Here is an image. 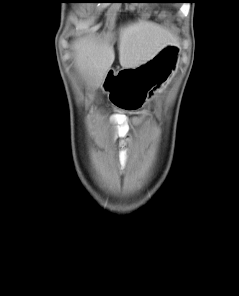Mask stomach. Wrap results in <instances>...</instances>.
Wrapping results in <instances>:
<instances>
[{
  "instance_id": "stomach-1",
  "label": "stomach",
  "mask_w": 239,
  "mask_h": 296,
  "mask_svg": "<svg viewBox=\"0 0 239 296\" xmlns=\"http://www.w3.org/2000/svg\"><path fill=\"white\" fill-rule=\"evenodd\" d=\"M180 47L174 44L165 45L156 55L144 64L132 69H119L115 84H150L161 82L173 73ZM105 94L116 108L123 111H140L146 98H152L150 85H107Z\"/></svg>"
}]
</instances>
